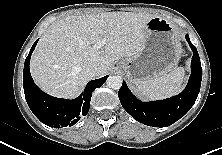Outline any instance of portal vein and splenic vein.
<instances>
[{"mask_svg":"<svg viewBox=\"0 0 222 155\" xmlns=\"http://www.w3.org/2000/svg\"><path fill=\"white\" fill-rule=\"evenodd\" d=\"M101 33H103V32H101ZM105 43H106V39L104 38L103 40L97 42L93 47L95 50H99L104 46Z\"/></svg>","mask_w":222,"mask_h":155,"instance_id":"18ae733b","label":"portal vein and splenic vein"}]
</instances>
